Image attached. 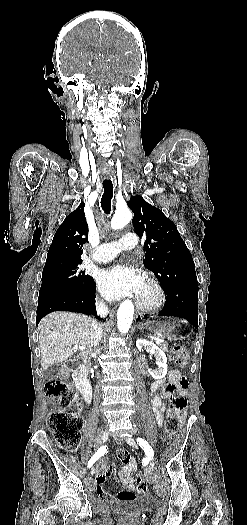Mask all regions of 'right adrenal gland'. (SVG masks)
I'll use <instances>...</instances> for the list:
<instances>
[{"mask_svg":"<svg viewBox=\"0 0 247 525\" xmlns=\"http://www.w3.org/2000/svg\"><path fill=\"white\" fill-rule=\"evenodd\" d=\"M97 353H100V349H99V347H98V349H97ZM92 355H94V351H93Z\"/></svg>","mask_w":247,"mask_h":525,"instance_id":"obj_1","label":"right adrenal gland"}]
</instances>
